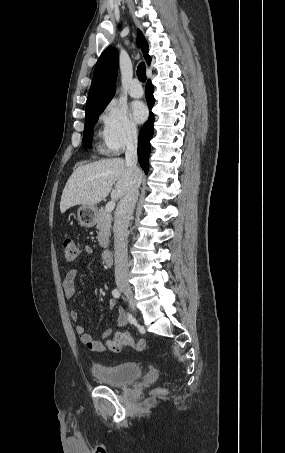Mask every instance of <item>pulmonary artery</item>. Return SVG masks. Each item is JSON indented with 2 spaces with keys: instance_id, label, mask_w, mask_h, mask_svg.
I'll list each match as a JSON object with an SVG mask.
<instances>
[{
  "instance_id": "e3ab8cb5",
  "label": "pulmonary artery",
  "mask_w": 285,
  "mask_h": 453,
  "mask_svg": "<svg viewBox=\"0 0 285 453\" xmlns=\"http://www.w3.org/2000/svg\"><path fill=\"white\" fill-rule=\"evenodd\" d=\"M129 94L133 98H140L143 96V89L138 79H133L129 88Z\"/></svg>"
}]
</instances>
